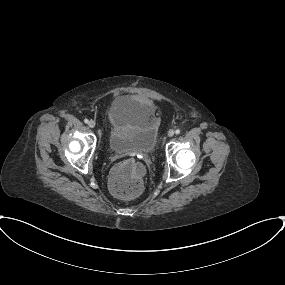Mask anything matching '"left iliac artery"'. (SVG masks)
<instances>
[{
	"instance_id": "left-iliac-artery-1",
	"label": "left iliac artery",
	"mask_w": 285,
	"mask_h": 285,
	"mask_svg": "<svg viewBox=\"0 0 285 285\" xmlns=\"http://www.w3.org/2000/svg\"><path fill=\"white\" fill-rule=\"evenodd\" d=\"M175 133H176V134H180V130H179V129H176Z\"/></svg>"
}]
</instances>
